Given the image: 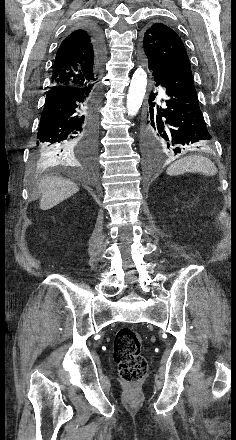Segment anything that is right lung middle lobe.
<instances>
[{
	"instance_id": "right-lung-middle-lobe-1",
	"label": "right lung middle lobe",
	"mask_w": 236,
	"mask_h": 440,
	"mask_svg": "<svg viewBox=\"0 0 236 440\" xmlns=\"http://www.w3.org/2000/svg\"><path fill=\"white\" fill-rule=\"evenodd\" d=\"M33 161H34L35 163L40 164V163H42V162H44V161H46V160H45V158H44L43 155H41V154H35L34 157H33Z\"/></svg>"
}]
</instances>
